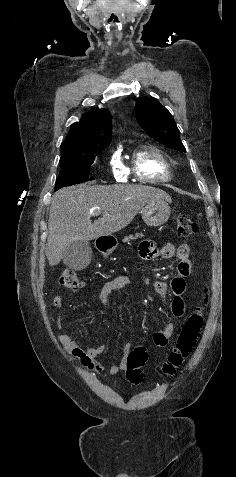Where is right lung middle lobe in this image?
Wrapping results in <instances>:
<instances>
[{
	"mask_svg": "<svg viewBox=\"0 0 236 477\" xmlns=\"http://www.w3.org/2000/svg\"><path fill=\"white\" fill-rule=\"evenodd\" d=\"M104 149L105 148L96 152L81 154L60 162L62 170L56 179L55 190L91 180V178L88 177V168L93 164L96 156Z\"/></svg>",
	"mask_w": 236,
	"mask_h": 477,
	"instance_id": "obj_1",
	"label": "right lung middle lobe"
}]
</instances>
